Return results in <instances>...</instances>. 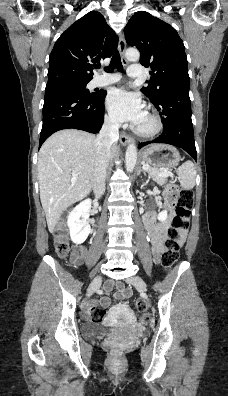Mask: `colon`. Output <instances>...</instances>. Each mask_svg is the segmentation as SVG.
<instances>
[{
	"label": "colon",
	"instance_id": "obj_1",
	"mask_svg": "<svg viewBox=\"0 0 228 396\" xmlns=\"http://www.w3.org/2000/svg\"><path fill=\"white\" fill-rule=\"evenodd\" d=\"M168 193L171 198L177 199V204L176 214L173 218L172 226L168 230L167 238L164 241V251L161 255L162 264L167 268L178 260L181 232L187 227V218L194 199L193 193L190 190L179 189L176 185H170ZM53 236L57 254L59 256H66L69 252L70 245L67 238L66 225L63 222L58 223L54 227ZM136 308L142 313L141 321L147 324L150 321V316L146 314V302L143 300L136 301ZM90 312L92 319L95 321H99L105 316V309L100 305H94Z\"/></svg>",
	"mask_w": 228,
	"mask_h": 396
}]
</instances>
